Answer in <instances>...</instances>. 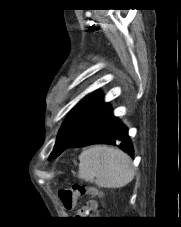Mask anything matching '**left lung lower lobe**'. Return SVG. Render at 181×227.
<instances>
[{"instance_id": "0a47b994", "label": "left lung lower lobe", "mask_w": 181, "mask_h": 227, "mask_svg": "<svg viewBox=\"0 0 181 227\" xmlns=\"http://www.w3.org/2000/svg\"><path fill=\"white\" fill-rule=\"evenodd\" d=\"M91 144L117 145L130 156L134 154L127 128L112 115L110 105L107 103L102 104L95 111L81 133L62 152L69 147H82Z\"/></svg>"}]
</instances>
